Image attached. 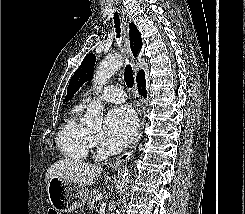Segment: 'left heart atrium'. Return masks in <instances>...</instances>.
I'll return each instance as SVG.
<instances>
[{"instance_id":"1","label":"left heart atrium","mask_w":245,"mask_h":214,"mask_svg":"<svg viewBox=\"0 0 245 214\" xmlns=\"http://www.w3.org/2000/svg\"><path fill=\"white\" fill-rule=\"evenodd\" d=\"M135 127V115L130 108L122 106L109 112L100 131L105 151L116 153L123 149L132 140Z\"/></svg>"}]
</instances>
